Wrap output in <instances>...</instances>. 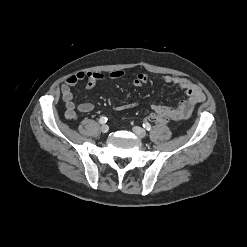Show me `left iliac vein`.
<instances>
[{
    "instance_id": "left-iliac-vein-1",
    "label": "left iliac vein",
    "mask_w": 247,
    "mask_h": 247,
    "mask_svg": "<svg viewBox=\"0 0 247 247\" xmlns=\"http://www.w3.org/2000/svg\"><path fill=\"white\" fill-rule=\"evenodd\" d=\"M132 130L139 138H144L146 136V131L141 127L135 126Z\"/></svg>"
}]
</instances>
